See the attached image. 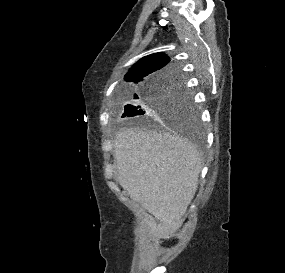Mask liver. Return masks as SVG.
I'll return each instance as SVG.
<instances>
[{"label":"liver","mask_w":285,"mask_h":273,"mask_svg":"<svg viewBox=\"0 0 285 273\" xmlns=\"http://www.w3.org/2000/svg\"><path fill=\"white\" fill-rule=\"evenodd\" d=\"M114 160L120 186L157 220L153 232L172 237L196 193L201 154L170 133L125 128L115 137Z\"/></svg>","instance_id":"liver-1"}]
</instances>
